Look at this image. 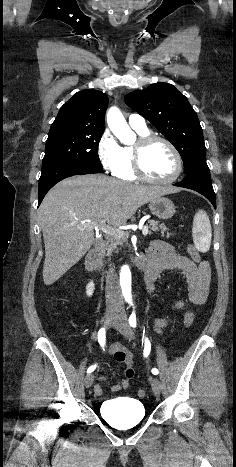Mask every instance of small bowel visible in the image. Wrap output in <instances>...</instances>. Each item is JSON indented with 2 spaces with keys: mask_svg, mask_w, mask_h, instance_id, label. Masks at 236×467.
<instances>
[{
  "mask_svg": "<svg viewBox=\"0 0 236 467\" xmlns=\"http://www.w3.org/2000/svg\"><path fill=\"white\" fill-rule=\"evenodd\" d=\"M145 262L150 266L151 271L154 273L152 280H146V290L151 295L154 292V282L159 273L165 270H181L186 279L189 290V301L194 305H203L206 303L211 287V268L207 261L201 260L195 262L190 258L176 254L174 248L163 241H153L148 249L145 257ZM186 303L178 301L175 308L184 310ZM168 325V320L158 319L155 322L157 330ZM110 352L115 356L116 353L121 352L125 358L123 360H116L125 366L124 379L114 384L111 388L112 392H120L127 390L130 387L131 379L134 377L133 368V355L132 352L119 346L114 345L111 347ZM99 381H106L105 376H100ZM94 392L97 396L103 395V389L100 385L94 387Z\"/></svg>",
  "mask_w": 236,
  "mask_h": 467,
  "instance_id": "obj_1",
  "label": "small bowel"
}]
</instances>
